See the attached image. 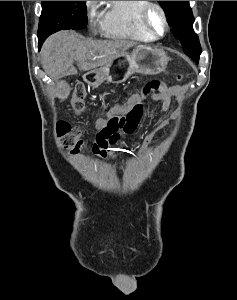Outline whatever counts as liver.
Instances as JSON below:
<instances>
[{"mask_svg":"<svg viewBox=\"0 0 237 300\" xmlns=\"http://www.w3.org/2000/svg\"><path fill=\"white\" fill-rule=\"evenodd\" d=\"M136 43L132 41H91L73 31H62L48 37L42 47L43 69L54 77L77 75L73 61H78L82 71H90L111 63L119 53H125Z\"/></svg>","mask_w":237,"mask_h":300,"instance_id":"obj_1","label":"liver"}]
</instances>
